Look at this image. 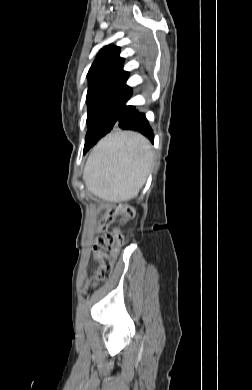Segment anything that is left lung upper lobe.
Segmentation results:
<instances>
[{
	"mask_svg": "<svg viewBox=\"0 0 252 390\" xmlns=\"http://www.w3.org/2000/svg\"><path fill=\"white\" fill-rule=\"evenodd\" d=\"M118 46H105L87 74V125L105 114L117 115L132 96L126 85L129 73L123 70L124 59Z\"/></svg>",
	"mask_w": 252,
	"mask_h": 390,
	"instance_id": "1",
	"label": "left lung upper lobe"
}]
</instances>
